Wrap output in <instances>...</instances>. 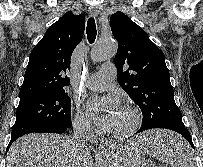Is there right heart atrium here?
Listing matches in <instances>:
<instances>
[{
  "mask_svg": "<svg viewBox=\"0 0 203 167\" xmlns=\"http://www.w3.org/2000/svg\"><path fill=\"white\" fill-rule=\"evenodd\" d=\"M74 126L82 131H89L92 129V121L90 117L78 107L73 119Z\"/></svg>",
  "mask_w": 203,
  "mask_h": 167,
  "instance_id": "obj_1",
  "label": "right heart atrium"
}]
</instances>
